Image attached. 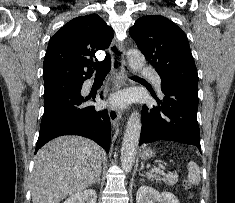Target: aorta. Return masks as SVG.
Here are the masks:
<instances>
[{
	"mask_svg": "<svg viewBox=\"0 0 235 203\" xmlns=\"http://www.w3.org/2000/svg\"><path fill=\"white\" fill-rule=\"evenodd\" d=\"M127 60L133 71H139L145 64V57L137 50H129L127 52ZM141 127L140 114L135 111L127 121L121 148V165L126 172L131 171L135 162Z\"/></svg>",
	"mask_w": 235,
	"mask_h": 203,
	"instance_id": "1",
	"label": "aorta"
}]
</instances>
